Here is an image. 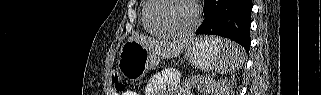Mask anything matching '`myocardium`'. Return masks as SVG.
<instances>
[{
	"mask_svg": "<svg viewBox=\"0 0 321 95\" xmlns=\"http://www.w3.org/2000/svg\"><path fill=\"white\" fill-rule=\"evenodd\" d=\"M158 1H168V0H149L150 4H149L147 11H146V20H147L148 24L150 25V27L154 31H156L159 34L164 35V36L183 37V36L190 35L191 33H193L196 30V28L198 27V25L200 23V12H199V7H198V4L196 1L183 0V1L187 2L192 8L193 21L187 29L182 30V31L164 28V27H161L155 23V21L152 19L151 12H152L153 8L157 5Z\"/></svg>",
	"mask_w": 321,
	"mask_h": 95,
	"instance_id": "f54148a6",
	"label": "myocardium"
}]
</instances>
